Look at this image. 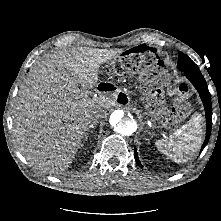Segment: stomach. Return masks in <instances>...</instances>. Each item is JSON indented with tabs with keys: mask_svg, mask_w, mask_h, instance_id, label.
I'll use <instances>...</instances> for the list:
<instances>
[{
	"mask_svg": "<svg viewBox=\"0 0 221 221\" xmlns=\"http://www.w3.org/2000/svg\"><path fill=\"white\" fill-rule=\"evenodd\" d=\"M171 88L170 65L166 58L157 57L152 68L146 72L140 85L146 100V111L152 116L155 126H175L184 119L179 109L165 99Z\"/></svg>",
	"mask_w": 221,
	"mask_h": 221,
	"instance_id": "obj_1",
	"label": "stomach"
}]
</instances>
